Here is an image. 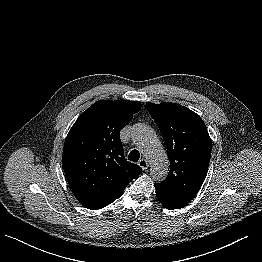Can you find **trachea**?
I'll return each mask as SVG.
<instances>
[{"label": "trachea", "instance_id": "3493384b", "mask_svg": "<svg viewBox=\"0 0 262 262\" xmlns=\"http://www.w3.org/2000/svg\"><path fill=\"white\" fill-rule=\"evenodd\" d=\"M140 158V154L138 150H132L129 155H128V160L133 161V162H138Z\"/></svg>", "mask_w": 262, "mask_h": 262}]
</instances>
